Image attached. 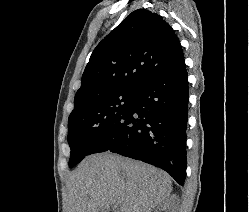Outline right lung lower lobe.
Masks as SVG:
<instances>
[{"label": "right lung lower lobe", "instance_id": "right-lung-lower-lobe-1", "mask_svg": "<svg viewBox=\"0 0 249 212\" xmlns=\"http://www.w3.org/2000/svg\"><path fill=\"white\" fill-rule=\"evenodd\" d=\"M188 79L184 59L142 85L132 104L90 151H111L152 164L180 185L186 177Z\"/></svg>", "mask_w": 249, "mask_h": 212}]
</instances>
